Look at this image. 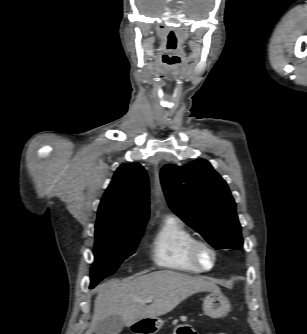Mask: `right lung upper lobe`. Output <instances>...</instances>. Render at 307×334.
Segmentation results:
<instances>
[{
  "instance_id": "obj_1",
  "label": "right lung upper lobe",
  "mask_w": 307,
  "mask_h": 334,
  "mask_svg": "<svg viewBox=\"0 0 307 334\" xmlns=\"http://www.w3.org/2000/svg\"><path fill=\"white\" fill-rule=\"evenodd\" d=\"M149 218V185L138 163L122 164L102 197L95 231L145 226Z\"/></svg>"
}]
</instances>
